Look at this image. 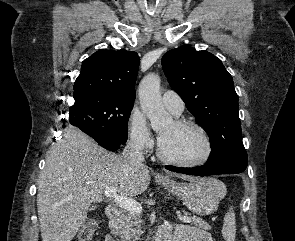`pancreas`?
<instances>
[{
	"label": "pancreas",
	"instance_id": "obj_1",
	"mask_svg": "<svg viewBox=\"0 0 295 241\" xmlns=\"http://www.w3.org/2000/svg\"><path fill=\"white\" fill-rule=\"evenodd\" d=\"M184 214L189 215L187 212H184ZM189 218L194 226L211 230V226L201 218L196 216H189ZM140 223H142V220L137 214H122L110 223V228L114 234L119 235L124 241H136L141 234Z\"/></svg>",
	"mask_w": 295,
	"mask_h": 241
}]
</instances>
